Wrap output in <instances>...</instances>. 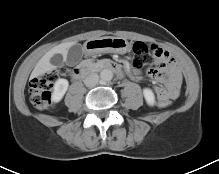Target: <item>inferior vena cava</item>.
<instances>
[{
    "instance_id": "obj_1",
    "label": "inferior vena cava",
    "mask_w": 219,
    "mask_h": 174,
    "mask_svg": "<svg viewBox=\"0 0 219 174\" xmlns=\"http://www.w3.org/2000/svg\"><path fill=\"white\" fill-rule=\"evenodd\" d=\"M99 81V76L96 73H91L89 74L85 79H84V84L87 87H94L97 85Z\"/></svg>"
}]
</instances>
